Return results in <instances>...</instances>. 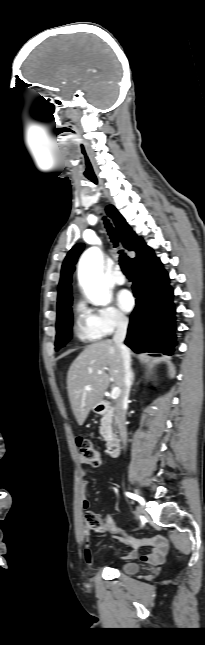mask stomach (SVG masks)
<instances>
[{
	"instance_id": "0dacf381",
	"label": "stomach",
	"mask_w": 205,
	"mask_h": 645,
	"mask_svg": "<svg viewBox=\"0 0 205 645\" xmlns=\"http://www.w3.org/2000/svg\"><path fill=\"white\" fill-rule=\"evenodd\" d=\"M93 411L97 412V405L93 407Z\"/></svg>"
}]
</instances>
